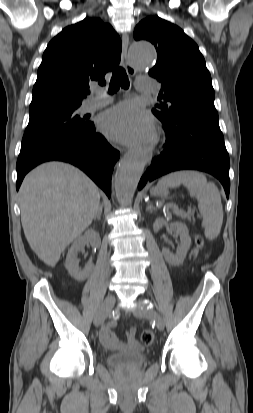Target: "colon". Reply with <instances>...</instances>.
I'll list each match as a JSON object with an SVG mask.
<instances>
[{"mask_svg": "<svg viewBox=\"0 0 253 413\" xmlns=\"http://www.w3.org/2000/svg\"><path fill=\"white\" fill-rule=\"evenodd\" d=\"M203 243H204V241H203V239H202L201 237H198V238L196 239V241H195V246H194V248H193V250H192V252H191V254H190V257H191L192 259H194V258L197 257L200 249H201L202 246H203ZM140 340H141V342H142L143 344H145V345H150V344H152L153 341H154V333H153L151 330H149V329L143 330V331L141 332V335H140Z\"/></svg>", "mask_w": 253, "mask_h": 413, "instance_id": "colon-1", "label": "colon"}]
</instances>
